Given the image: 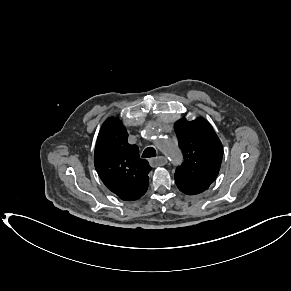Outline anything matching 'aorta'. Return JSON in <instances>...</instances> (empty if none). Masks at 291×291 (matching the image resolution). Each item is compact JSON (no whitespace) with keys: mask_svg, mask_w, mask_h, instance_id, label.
Returning <instances> with one entry per match:
<instances>
[{"mask_svg":"<svg viewBox=\"0 0 291 291\" xmlns=\"http://www.w3.org/2000/svg\"><path fill=\"white\" fill-rule=\"evenodd\" d=\"M154 134H155V131L152 130V133L149 136H152ZM157 147L162 153H164L167 157L173 160L180 158L179 148L176 146L175 143H173L170 140H164V139L159 140L157 143Z\"/></svg>","mask_w":291,"mask_h":291,"instance_id":"762f6f07","label":"aorta"}]
</instances>
